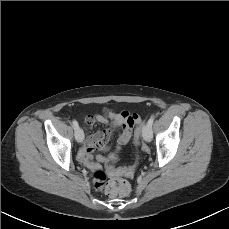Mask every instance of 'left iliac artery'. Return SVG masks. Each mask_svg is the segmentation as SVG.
<instances>
[{
    "instance_id": "obj_1",
    "label": "left iliac artery",
    "mask_w": 229,
    "mask_h": 229,
    "mask_svg": "<svg viewBox=\"0 0 229 229\" xmlns=\"http://www.w3.org/2000/svg\"><path fill=\"white\" fill-rule=\"evenodd\" d=\"M153 122H154V117L151 116L150 119L148 120V124L152 126Z\"/></svg>"
}]
</instances>
